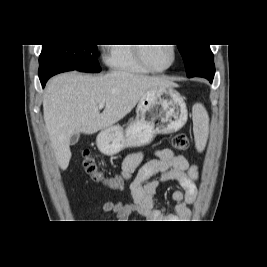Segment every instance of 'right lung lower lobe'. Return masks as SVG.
<instances>
[{"mask_svg": "<svg viewBox=\"0 0 267 267\" xmlns=\"http://www.w3.org/2000/svg\"><path fill=\"white\" fill-rule=\"evenodd\" d=\"M73 70H75V69H73L72 67H69L65 64L53 62V61L40 63L39 79H40V82L42 84V87L45 86L47 80L50 77H52L58 73L73 71Z\"/></svg>", "mask_w": 267, "mask_h": 267, "instance_id": "obj_1", "label": "right lung lower lobe"}]
</instances>
